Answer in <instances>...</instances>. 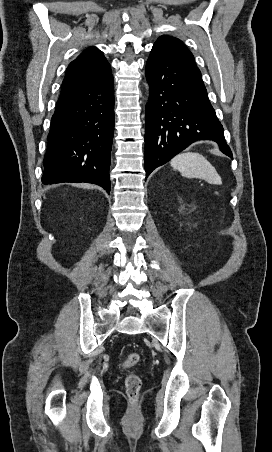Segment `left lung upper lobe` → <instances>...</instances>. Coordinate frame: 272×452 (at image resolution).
Here are the masks:
<instances>
[{
  "label": "left lung upper lobe",
  "mask_w": 272,
  "mask_h": 452,
  "mask_svg": "<svg viewBox=\"0 0 272 452\" xmlns=\"http://www.w3.org/2000/svg\"><path fill=\"white\" fill-rule=\"evenodd\" d=\"M154 46H162L167 47L180 55L184 56L191 62L195 63L194 57L192 53L187 49L184 43L172 36L164 35L158 38V40L154 43Z\"/></svg>",
  "instance_id": "obj_1"
}]
</instances>
